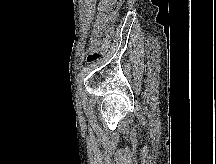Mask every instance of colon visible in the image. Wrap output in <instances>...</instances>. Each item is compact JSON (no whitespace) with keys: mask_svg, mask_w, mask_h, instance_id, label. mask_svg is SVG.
I'll return each instance as SVG.
<instances>
[{"mask_svg":"<svg viewBox=\"0 0 216 164\" xmlns=\"http://www.w3.org/2000/svg\"><path fill=\"white\" fill-rule=\"evenodd\" d=\"M122 0H114V7L105 24L93 31L87 63H96L107 51L111 30L118 17V6Z\"/></svg>","mask_w":216,"mask_h":164,"instance_id":"colon-1","label":"colon"}]
</instances>
